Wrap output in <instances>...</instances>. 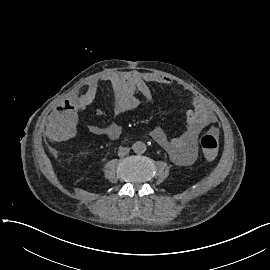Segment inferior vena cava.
Wrapping results in <instances>:
<instances>
[{"mask_svg": "<svg viewBox=\"0 0 270 270\" xmlns=\"http://www.w3.org/2000/svg\"><path fill=\"white\" fill-rule=\"evenodd\" d=\"M130 151V148L127 147H120L118 150V156L119 157H124L126 156Z\"/></svg>", "mask_w": 270, "mask_h": 270, "instance_id": "1", "label": "inferior vena cava"}]
</instances>
